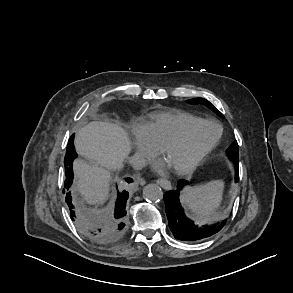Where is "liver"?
<instances>
[{"label":"liver","mask_w":293,"mask_h":293,"mask_svg":"<svg viewBox=\"0 0 293 293\" xmlns=\"http://www.w3.org/2000/svg\"><path fill=\"white\" fill-rule=\"evenodd\" d=\"M75 148L86 160L73 163L75 189L89 204H102L109 191L110 171L122 167L130 152L125 130L117 124L93 121L75 137Z\"/></svg>","instance_id":"liver-1"}]
</instances>
